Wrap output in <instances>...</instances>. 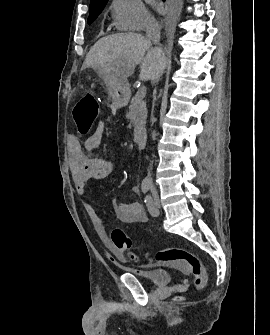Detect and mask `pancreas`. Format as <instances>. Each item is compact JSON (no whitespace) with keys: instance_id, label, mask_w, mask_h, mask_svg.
I'll return each mask as SVG.
<instances>
[{"instance_id":"1","label":"pancreas","mask_w":270,"mask_h":335,"mask_svg":"<svg viewBox=\"0 0 270 335\" xmlns=\"http://www.w3.org/2000/svg\"><path fill=\"white\" fill-rule=\"evenodd\" d=\"M128 118L134 124V136L140 134L141 130H145L147 110H140L138 106H130Z\"/></svg>"}]
</instances>
